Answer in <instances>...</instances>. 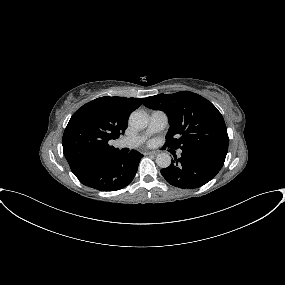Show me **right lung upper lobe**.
I'll list each match as a JSON object with an SVG mask.
<instances>
[{"mask_svg": "<svg viewBox=\"0 0 285 285\" xmlns=\"http://www.w3.org/2000/svg\"><path fill=\"white\" fill-rule=\"evenodd\" d=\"M142 101V98L100 97L73 114L62 139L63 153L72 172L119 151L108 142L124 134L129 115Z\"/></svg>", "mask_w": 285, "mask_h": 285, "instance_id": "cb5924a9", "label": "right lung upper lobe"}]
</instances>
